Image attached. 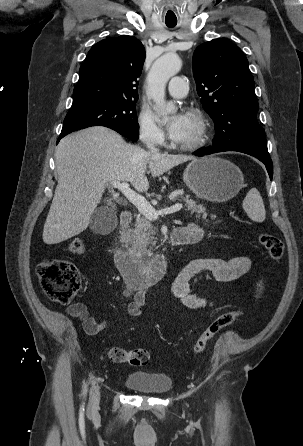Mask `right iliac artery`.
Masks as SVG:
<instances>
[{
  "label": "right iliac artery",
  "instance_id": "82829eb1",
  "mask_svg": "<svg viewBox=\"0 0 303 446\" xmlns=\"http://www.w3.org/2000/svg\"><path fill=\"white\" fill-rule=\"evenodd\" d=\"M86 393V386H85V389H84V391H83V394H85Z\"/></svg>",
  "mask_w": 303,
  "mask_h": 446
}]
</instances>
